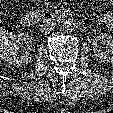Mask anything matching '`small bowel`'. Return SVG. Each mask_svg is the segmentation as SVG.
<instances>
[{
  "instance_id": "1",
  "label": "small bowel",
  "mask_w": 113,
  "mask_h": 113,
  "mask_svg": "<svg viewBox=\"0 0 113 113\" xmlns=\"http://www.w3.org/2000/svg\"><path fill=\"white\" fill-rule=\"evenodd\" d=\"M113 3V0H110ZM99 21L107 28L108 31L113 33V14L104 13L99 16Z\"/></svg>"
}]
</instances>
